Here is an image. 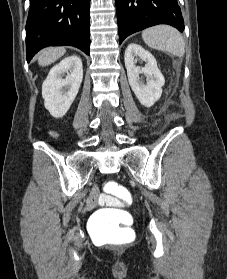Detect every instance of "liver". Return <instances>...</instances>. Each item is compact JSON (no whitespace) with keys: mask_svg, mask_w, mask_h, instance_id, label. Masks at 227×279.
Returning a JSON list of instances; mask_svg holds the SVG:
<instances>
[{"mask_svg":"<svg viewBox=\"0 0 227 279\" xmlns=\"http://www.w3.org/2000/svg\"><path fill=\"white\" fill-rule=\"evenodd\" d=\"M66 52L64 47H50L42 50L38 54V64L40 66H48L58 60Z\"/></svg>","mask_w":227,"mask_h":279,"instance_id":"liver-1","label":"liver"}]
</instances>
